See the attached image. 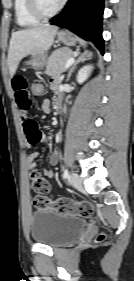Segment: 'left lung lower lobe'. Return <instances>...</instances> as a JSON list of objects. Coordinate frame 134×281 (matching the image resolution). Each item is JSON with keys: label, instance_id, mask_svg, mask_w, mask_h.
<instances>
[{"label": "left lung lower lobe", "instance_id": "obj_1", "mask_svg": "<svg viewBox=\"0 0 134 281\" xmlns=\"http://www.w3.org/2000/svg\"><path fill=\"white\" fill-rule=\"evenodd\" d=\"M104 0H69L64 11L50 19L51 24L67 28L91 40L104 54L102 18Z\"/></svg>", "mask_w": 134, "mask_h": 281}]
</instances>
